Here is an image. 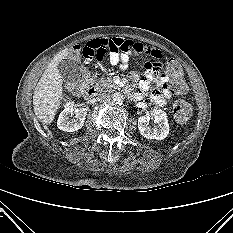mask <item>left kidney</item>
<instances>
[{
	"label": "left kidney",
	"mask_w": 233,
	"mask_h": 233,
	"mask_svg": "<svg viewBox=\"0 0 233 233\" xmlns=\"http://www.w3.org/2000/svg\"><path fill=\"white\" fill-rule=\"evenodd\" d=\"M152 119L154 127L149 126ZM138 130L140 134L147 139L163 140L169 134V124L166 113L161 109H155L151 116H140L138 118Z\"/></svg>",
	"instance_id": "1"
}]
</instances>
